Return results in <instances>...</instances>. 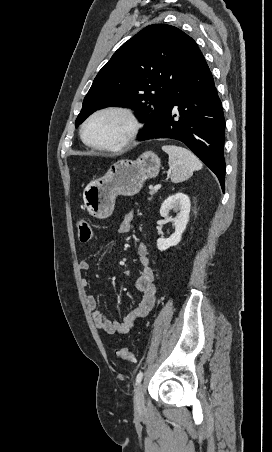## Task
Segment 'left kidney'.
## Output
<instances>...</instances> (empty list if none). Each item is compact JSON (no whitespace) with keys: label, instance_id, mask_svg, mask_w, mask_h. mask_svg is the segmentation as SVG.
I'll list each match as a JSON object with an SVG mask.
<instances>
[{"label":"left kidney","instance_id":"obj_1","mask_svg":"<svg viewBox=\"0 0 272 452\" xmlns=\"http://www.w3.org/2000/svg\"><path fill=\"white\" fill-rule=\"evenodd\" d=\"M190 207L189 197L181 192L173 194L164 200L160 208V215L161 217L169 218L173 222L175 232L169 238H159L157 240V248L160 251L176 246L181 241L182 233L185 231L189 221ZM171 210L177 213L175 218L169 217Z\"/></svg>","mask_w":272,"mask_h":452}]
</instances>
